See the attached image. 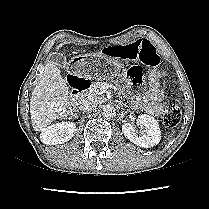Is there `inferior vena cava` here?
I'll list each match as a JSON object with an SVG mask.
<instances>
[{"label":"inferior vena cava","instance_id":"1","mask_svg":"<svg viewBox=\"0 0 209 209\" xmlns=\"http://www.w3.org/2000/svg\"><path fill=\"white\" fill-rule=\"evenodd\" d=\"M97 107V101L91 97L81 100L79 109L81 111H92Z\"/></svg>","mask_w":209,"mask_h":209}]
</instances>
